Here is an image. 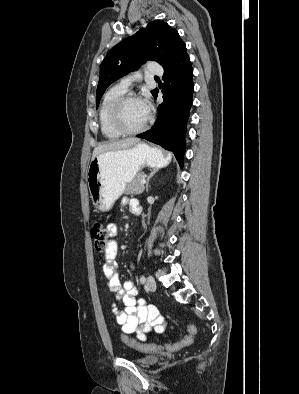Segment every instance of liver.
Masks as SVG:
<instances>
[{"label": "liver", "instance_id": "1", "mask_svg": "<svg viewBox=\"0 0 299 394\" xmlns=\"http://www.w3.org/2000/svg\"><path fill=\"white\" fill-rule=\"evenodd\" d=\"M139 139L137 138H127L119 141H113L110 143H102L97 145L93 151L92 159L98 156L101 153H105L108 151H116L121 149H128L139 143Z\"/></svg>", "mask_w": 299, "mask_h": 394}]
</instances>
